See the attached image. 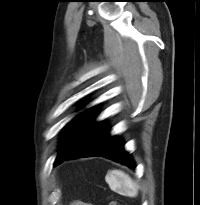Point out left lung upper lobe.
I'll list each match as a JSON object with an SVG mask.
<instances>
[{
  "label": "left lung upper lobe",
  "instance_id": "1",
  "mask_svg": "<svg viewBox=\"0 0 200 205\" xmlns=\"http://www.w3.org/2000/svg\"><path fill=\"white\" fill-rule=\"evenodd\" d=\"M96 108H90L73 119L63 130L65 135L61 140L60 152L54 163L55 166L61 163V160L69 155L85 138L90 130L95 126L94 119Z\"/></svg>",
  "mask_w": 200,
  "mask_h": 205
}]
</instances>
